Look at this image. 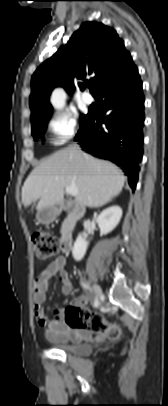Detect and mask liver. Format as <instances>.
I'll return each mask as SVG.
<instances>
[{
	"mask_svg": "<svg viewBox=\"0 0 168 406\" xmlns=\"http://www.w3.org/2000/svg\"><path fill=\"white\" fill-rule=\"evenodd\" d=\"M124 183L113 163L67 147L33 169L22 187V203L28 207L39 200L37 210L52 207L63 201L67 186L75 185L80 206L101 207L120 194Z\"/></svg>",
	"mask_w": 168,
	"mask_h": 406,
	"instance_id": "6515ba94",
	"label": "liver"
}]
</instances>
